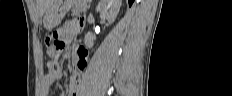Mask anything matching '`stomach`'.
Masks as SVG:
<instances>
[{"mask_svg":"<svg viewBox=\"0 0 232 96\" xmlns=\"http://www.w3.org/2000/svg\"><path fill=\"white\" fill-rule=\"evenodd\" d=\"M74 2V0H52L43 18L44 27L49 31L57 27Z\"/></svg>","mask_w":232,"mask_h":96,"instance_id":"1","label":"stomach"}]
</instances>
